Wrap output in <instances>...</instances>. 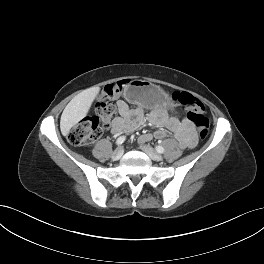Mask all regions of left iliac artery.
<instances>
[{"label":"left iliac artery","instance_id":"44dca946","mask_svg":"<svg viewBox=\"0 0 264 264\" xmlns=\"http://www.w3.org/2000/svg\"><path fill=\"white\" fill-rule=\"evenodd\" d=\"M156 151H157L158 153H163V152H164V148H163L162 146H157V147H156Z\"/></svg>","mask_w":264,"mask_h":264}]
</instances>
